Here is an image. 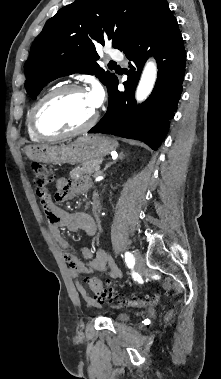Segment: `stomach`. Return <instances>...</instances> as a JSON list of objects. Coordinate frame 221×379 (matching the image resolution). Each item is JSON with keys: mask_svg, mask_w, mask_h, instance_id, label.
<instances>
[{"mask_svg": "<svg viewBox=\"0 0 221 379\" xmlns=\"http://www.w3.org/2000/svg\"><path fill=\"white\" fill-rule=\"evenodd\" d=\"M117 141L102 135H84L65 145H36L26 148V154L32 161L47 164L83 163L101 160L103 156L114 151Z\"/></svg>", "mask_w": 221, "mask_h": 379, "instance_id": "1", "label": "stomach"}]
</instances>
